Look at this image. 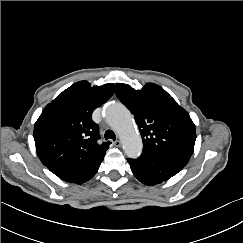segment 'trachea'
Listing matches in <instances>:
<instances>
[{
  "mask_svg": "<svg viewBox=\"0 0 243 243\" xmlns=\"http://www.w3.org/2000/svg\"><path fill=\"white\" fill-rule=\"evenodd\" d=\"M104 137L106 140H108V139H112L114 141L116 140V135L112 130H107L104 134Z\"/></svg>",
  "mask_w": 243,
  "mask_h": 243,
  "instance_id": "trachea-1",
  "label": "trachea"
}]
</instances>
